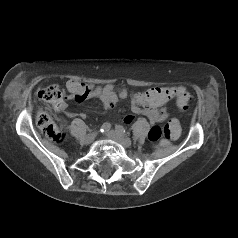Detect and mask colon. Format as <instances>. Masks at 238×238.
Here are the masks:
<instances>
[{"label": "colon", "instance_id": "colon-1", "mask_svg": "<svg viewBox=\"0 0 238 238\" xmlns=\"http://www.w3.org/2000/svg\"><path fill=\"white\" fill-rule=\"evenodd\" d=\"M173 97L177 98V103L180 109L185 110L188 107L190 96L183 87H173ZM167 96H171L170 92H166ZM172 97V98H173ZM37 98L54 108L59 107L64 102V93L56 84L48 85L37 90ZM38 127L42 130L43 134L49 139L60 142L64 139L65 134L54 124L50 115L40 110L36 116ZM180 134V125L176 120H171L163 128L160 126H153L148 133V139L152 142L158 141L161 137L168 140L178 138Z\"/></svg>", "mask_w": 238, "mask_h": 238}]
</instances>
